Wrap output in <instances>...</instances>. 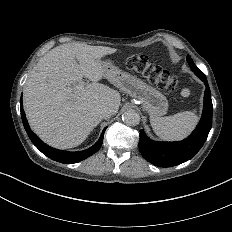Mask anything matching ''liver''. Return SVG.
<instances>
[{
	"label": "liver",
	"mask_w": 232,
	"mask_h": 232,
	"mask_svg": "<svg viewBox=\"0 0 232 232\" xmlns=\"http://www.w3.org/2000/svg\"><path fill=\"white\" fill-rule=\"evenodd\" d=\"M117 51L67 43L39 60L24 87V108L32 129L46 143L64 149L76 147L101 123L99 107L118 112L120 93L99 83L105 77L102 59ZM83 76L92 82L80 85Z\"/></svg>",
	"instance_id": "liver-1"
}]
</instances>
